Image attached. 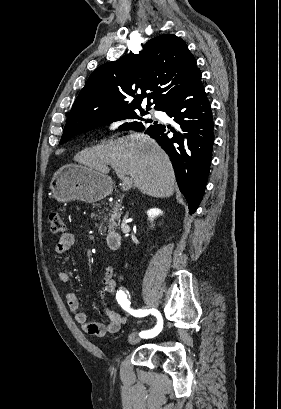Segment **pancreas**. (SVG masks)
I'll return each mask as SVG.
<instances>
[{"instance_id":"obj_1","label":"pancreas","mask_w":281,"mask_h":409,"mask_svg":"<svg viewBox=\"0 0 281 409\" xmlns=\"http://www.w3.org/2000/svg\"><path fill=\"white\" fill-rule=\"evenodd\" d=\"M111 213H113V215H111V217H113V219H120L121 217V209L118 205V202H116V205L113 209V211H111ZM113 225H117V223H113Z\"/></svg>"}]
</instances>
